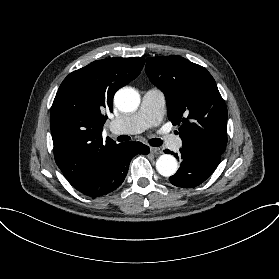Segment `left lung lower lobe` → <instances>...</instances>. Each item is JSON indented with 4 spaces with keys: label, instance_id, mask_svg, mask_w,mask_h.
<instances>
[{
    "label": "left lung lower lobe",
    "instance_id": "obj_1",
    "mask_svg": "<svg viewBox=\"0 0 279 279\" xmlns=\"http://www.w3.org/2000/svg\"><path fill=\"white\" fill-rule=\"evenodd\" d=\"M165 152L182 160L178 172L170 177V182L179 187L200 185L213 173L221 159V155L202 148L182 147L179 157L169 150Z\"/></svg>",
    "mask_w": 279,
    "mask_h": 279
}]
</instances>
